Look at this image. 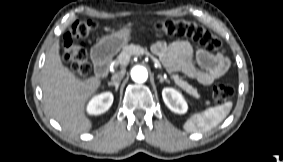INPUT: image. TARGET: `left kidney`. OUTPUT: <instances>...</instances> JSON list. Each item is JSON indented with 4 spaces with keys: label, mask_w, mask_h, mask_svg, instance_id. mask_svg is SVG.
I'll use <instances>...</instances> for the list:
<instances>
[{
    "label": "left kidney",
    "mask_w": 283,
    "mask_h": 162,
    "mask_svg": "<svg viewBox=\"0 0 283 162\" xmlns=\"http://www.w3.org/2000/svg\"><path fill=\"white\" fill-rule=\"evenodd\" d=\"M162 98L166 106L177 114H185L188 105L182 95L175 89L166 87L162 90Z\"/></svg>",
    "instance_id": "5707ae66"
}]
</instances>
